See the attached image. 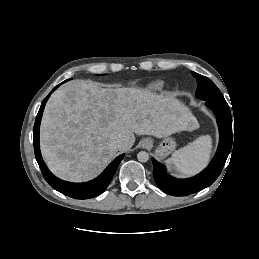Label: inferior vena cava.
<instances>
[{
  "instance_id": "obj_1",
  "label": "inferior vena cava",
  "mask_w": 259,
  "mask_h": 259,
  "mask_svg": "<svg viewBox=\"0 0 259 259\" xmlns=\"http://www.w3.org/2000/svg\"><path fill=\"white\" fill-rule=\"evenodd\" d=\"M113 144H114L117 148H122V147L125 145L124 140L121 139V138H115V139L113 140Z\"/></svg>"
}]
</instances>
